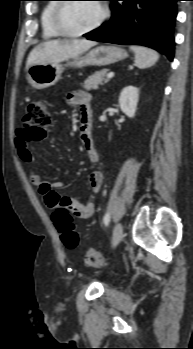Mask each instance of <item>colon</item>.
<instances>
[{
	"label": "colon",
	"mask_w": 193,
	"mask_h": 349,
	"mask_svg": "<svg viewBox=\"0 0 193 349\" xmlns=\"http://www.w3.org/2000/svg\"><path fill=\"white\" fill-rule=\"evenodd\" d=\"M53 115L43 101L29 104L23 118V129L32 139H42L46 135L45 129L52 124ZM53 221L60 233L64 245L72 249L78 244V235L74 229L73 215L66 204H60L54 209ZM85 262L89 266L102 267L106 264L103 256L89 248L84 252Z\"/></svg>",
	"instance_id": "5ec220e1"
}]
</instances>
